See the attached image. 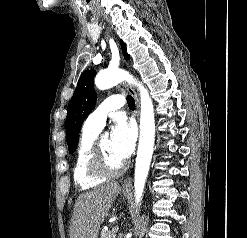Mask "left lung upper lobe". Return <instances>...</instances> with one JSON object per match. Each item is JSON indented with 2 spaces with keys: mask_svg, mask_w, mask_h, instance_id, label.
<instances>
[{
  "mask_svg": "<svg viewBox=\"0 0 247 238\" xmlns=\"http://www.w3.org/2000/svg\"><path fill=\"white\" fill-rule=\"evenodd\" d=\"M121 46L125 59H128L129 55L126 53V46L123 41H121ZM94 76L95 72L93 70L83 72L68 105L66 138L69 153H73L76 150L81 124L96 103L93 87Z\"/></svg>",
  "mask_w": 247,
  "mask_h": 238,
  "instance_id": "1",
  "label": "left lung upper lobe"
}]
</instances>
